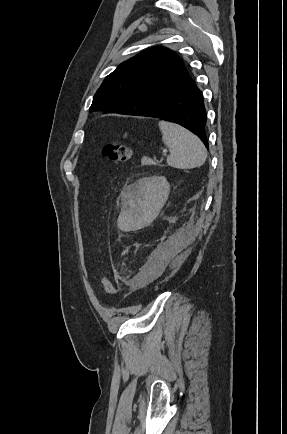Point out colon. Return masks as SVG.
Listing matches in <instances>:
<instances>
[{"mask_svg": "<svg viewBox=\"0 0 287 434\" xmlns=\"http://www.w3.org/2000/svg\"><path fill=\"white\" fill-rule=\"evenodd\" d=\"M104 154L109 157L111 160L126 162L131 158L132 151L129 146L119 143V142H110L108 143L103 150ZM102 288L104 292L113 296L115 294V286L113 281L105 276L102 280Z\"/></svg>", "mask_w": 287, "mask_h": 434, "instance_id": "obj_1", "label": "colon"}]
</instances>
